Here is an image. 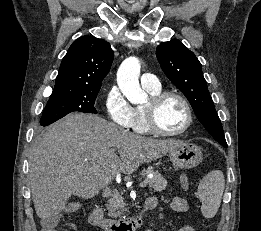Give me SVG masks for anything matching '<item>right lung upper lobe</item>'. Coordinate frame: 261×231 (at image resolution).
<instances>
[{
  "instance_id": "right-lung-upper-lobe-1",
  "label": "right lung upper lobe",
  "mask_w": 261,
  "mask_h": 231,
  "mask_svg": "<svg viewBox=\"0 0 261 231\" xmlns=\"http://www.w3.org/2000/svg\"><path fill=\"white\" fill-rule=\"evenodd\" d=\"M113 61L110 44L93 36H82L62 59L54 90L100 89Z\"/></svg>"
}]
</instances>
